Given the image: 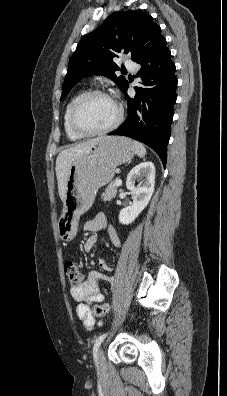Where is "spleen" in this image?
Masks as SVG:
<instances>
[{"label":"spleen","instance_id":"obj_1","mask_svg":"<svg viewBox=\"0 0 227 396\" xmlns=\"http://www.w3.org/2000/svg\"><path fill=\"white\" fill-rule=\"evenodd\" d=\"M136 148V154L139 157H144L146 154V148L143 144H141L140 142L134 141L133 142Z\"/></svg>","mask_w":227,"mask_h":396}]
</instances>
